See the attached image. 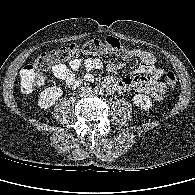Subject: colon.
Wrapping results in <instances>:
<instances>
[{"label": "colon", "mask_w": 195, "mask_h": 195, "mask_svg": "<svg viewBox=\"0 0 195 195\" xmlns=\"http://www.w3.org/2000/svg\"><path fill=\"white\" fill-rule=\"evenodd\" d=\"M112 53L123 60H130L134 57L133 49L126 48L114 36H108L104 40L93 39L83 44H72L48 53L39 55L31 64L24 66L20 72V86L23 92H32L39 87L43 81L40 70H48L56 63L67 61L78 55H99ZM166 82L170 89L177 86V77L173 72L166 73Z\"/></svg>", "instance_id": "colon-1"}]
</instances>
